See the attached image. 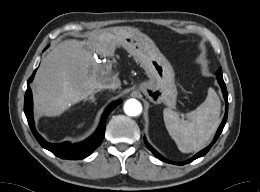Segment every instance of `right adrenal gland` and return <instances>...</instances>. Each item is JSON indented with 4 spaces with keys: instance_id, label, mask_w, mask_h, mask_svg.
<instances>
[{
    "instance_id": "2a0ac1e0",
    "label": "right adrenal gland",
    "mask_w": 260,
    "mask_h": 192,
    "mask_svg": "<svg viewBox=\"0 0 260 192\" xmlns=\"http://www.w3.org/2000/svg\"><path fill=\"white\" fill-rule=\"evenodd\" d=\"M98 91H99V90L94 91L93 94H92L89 98H87V99H85V100L91 101V102H95V101H96V98L94 97V95H95ZM95 104H96V102H95Z\"/></svg>"
}]
</instances>
